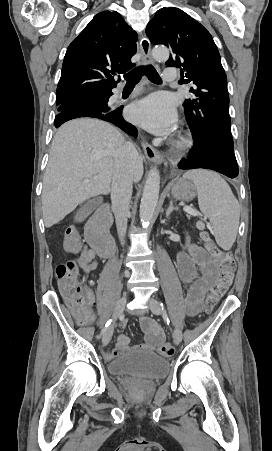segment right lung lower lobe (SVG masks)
Wrapping results in <instances>:
<instances>
[{"label": "right lung lower lobe", "mask_w": 272, "mask_h": 451, "mask_svg": "<svg viewBox=\"0 0 272 451\" xmlns=\"http://www.w3.org/2000/svg\"><path fill=\"white\" fill-rule=\"evenodd\" d=\"M112 92L90 94L88 97L63 103V108L55 116L54 125L58 128L64 122L81 117H91L110 122L129 135L137 136L135 126L126 122L122 117L121 108H110L107 103ZM107 105V107H105Z\"/></svg>", "instance_id": "right-lung-lower-lobe-1"}]
</instances>
